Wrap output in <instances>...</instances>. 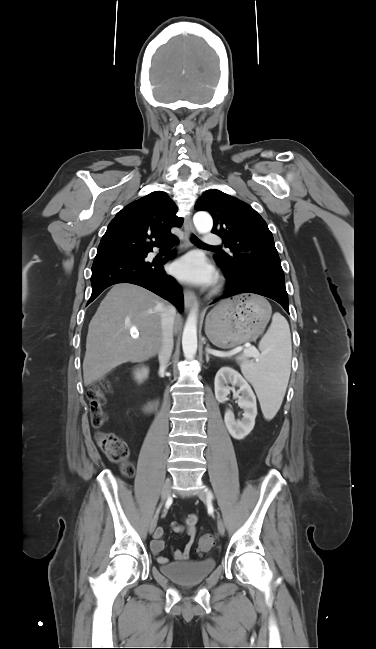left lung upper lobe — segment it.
Here are the masks:
<instances>
[{"label":"left lung upper lobe","instance_id":"left-lung-upper-lobe-1","mask_svg":"<svg viewBox=\"0 0 376 649\" xmlns=\"http://www.w3.org/2000/svg\"><path fill=\"white\" fill-rule=\"evenodd\" d=\"M195 209L211 213L212 233L223 240L229 254H215V261L241 275L243 269H265L284 278L274 239L264 219L248 204L219 190L206 191Z\"/></svg>","mask_w":376,"mask_h":649}]
</instances>
